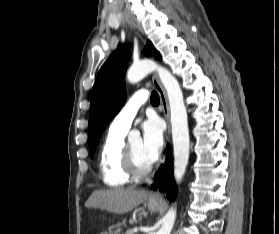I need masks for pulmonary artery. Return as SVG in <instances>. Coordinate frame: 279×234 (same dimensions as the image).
I'll return each instance as SVG.
<instances>
[{
  "label": "pulmonary artery",
  "instance_id": "pulmonary-artery-1",
  "mask_svg": "<svg viewBox=\"0 0 279 234\" xmlns=\"http://www.w3.org/2000/svg\"><path fill=\"white\" fill-rule=\"evenodd\" d=\"M147 99L148 94L145 91L134 93L111 122L110 130L126 133L130 128L139 107L144 104Z\"/></svg>",
  "mask_w": 279,
  "mask_h": 234
}]
</instances>
